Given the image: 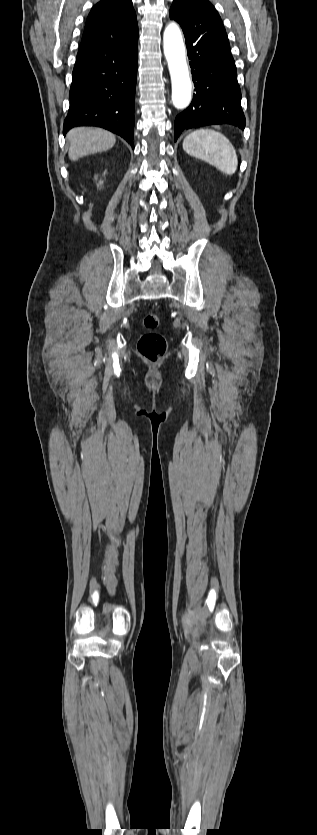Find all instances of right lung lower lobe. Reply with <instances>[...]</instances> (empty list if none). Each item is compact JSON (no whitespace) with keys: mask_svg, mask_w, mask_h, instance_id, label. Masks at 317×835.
I'll use <instances>...</instances> for the list:
<instances>
[{"mask_svg":"<svg viewBox=\"0 0 317 835\" xmlns=\"http://www.w3.org/2000/svg\"><path fill=\"white\" fill-rule=\"evenodd\" d=\"M137 41L138 35L113 46H80L64 135L73 127L97 126L122 136L133 147Z\"/></svg>","mask_w":317,"mask_h":835,"instance_id":"98d812e1","label":"right lung lower lobe"}]
</instances>
